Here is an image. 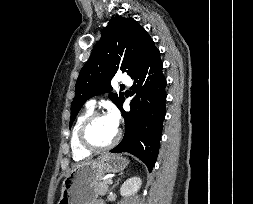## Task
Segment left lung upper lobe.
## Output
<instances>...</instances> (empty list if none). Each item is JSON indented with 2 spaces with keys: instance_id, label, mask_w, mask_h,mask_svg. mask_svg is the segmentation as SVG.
<instances>
[{
  "instance_id": "5c2ea615",
  "label": "left lung upper lobe",
  "mask_w": 253,
  "mask_h": 204,
  "mask_svg": "<svg viewBox=\"0 0 253 204\" xmlns=\"http://www.w3.org/2000/svg\"><path fill=\"white\" fill-rule=\"evenodd\" d=\"M152 46L151 37L133 18H112L80 71L71 104L70 128L85 101L111 91V79L119 70L134 76ZM109 97L118 108L125 100L123 93H110Z\"/></svg>"
}]
</instances>
